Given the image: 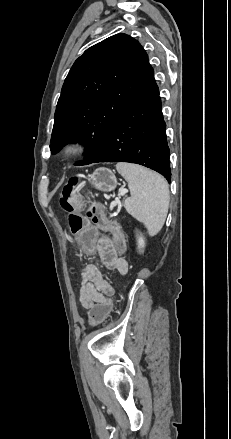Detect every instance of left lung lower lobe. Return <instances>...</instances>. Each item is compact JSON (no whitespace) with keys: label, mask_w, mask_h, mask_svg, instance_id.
Instances as JSON below:
<instances>
[{"label":"left lung lower lobe","mask_w":231,"mask_h":439,"mask_svg":"<svg viewBox=\"0 0 231 439\" xmlns=\"http://www.w3.org/2000/svg\"><path fill=\"white\" fill-rule=\"evenodd\" d=\"M161 99L150 67L135 95L110 130L101 149L89 163L130 162L162 174L170 183L169 148Z\"/></svg>","instance_id":"left-lung-lower-lobe-1"}]
</instances>
